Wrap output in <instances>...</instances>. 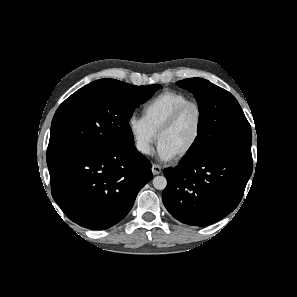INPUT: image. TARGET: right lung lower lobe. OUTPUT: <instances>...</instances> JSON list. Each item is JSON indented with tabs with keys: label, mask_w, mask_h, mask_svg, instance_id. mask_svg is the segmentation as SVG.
Wrapping results in <instances>:
<instances>
[{
	"label": "right lung lower lobe",
	"mask_w": 297,
	"mask_h": 297,
	"mask_svg": "<svg viewBox=\"0 0 297 297\" xmlns=\"http://www.w3.org/2000/svg\"><path fill=\"white\" fill-rule=\"evenodd\" d=\"M48 168L56 203L70 220L92 230L122 220L153 176L151 163L133 144L73 152Z\"/></svg>",
	"instance_id": "98d812e1"
}]
</instances>
